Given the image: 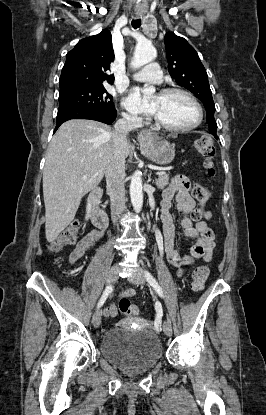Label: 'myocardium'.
<instances>
[{
  "label": "myocardium",
  "instance_id": "1",
  "mask_svg": "<svg viewBox=\"0 0 266 415\" xmlns=\"http://www.w3.org/2000/svg\"><path fill=\"white\" fill-rule=\"evenodd\" d=\"M161 94H164V95L181 94V95L185 96L186 98H188L193 103V105L195 106V108L197 110V119L191 125H188V126H185V127H174V126H170V125H167V124L161 122L155 116L154 121H155L156 127H158L159 129H162L164 131H167V132L183 133V132H188V131H191V130L197 128L202 123L203 117H204L203 109H202L201 104L197 100V98L192 93H190L189 91H187L185 89H182V88L168 87V88H164L161 91Z\"/></svg>",
  "mask_w": 266,
  "mask_h": 415
}]
</instances>
